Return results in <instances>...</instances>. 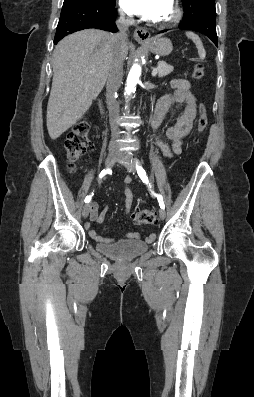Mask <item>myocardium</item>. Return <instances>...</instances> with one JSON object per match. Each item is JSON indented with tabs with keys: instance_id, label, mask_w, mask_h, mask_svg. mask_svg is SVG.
<instances>
[{
	"instance_id": "obj_1",
	"label": "myocardium",
	"mask_w": 254,
	"mask_h": 397,
	"mask_svg": "<svg viewBox=\"0 0 254 397\" xmlns=\"http://www.w3.org/2000/svg\"><path fill=\"white\" fill-rule=\"evenodd\" d=\"M172 15L164 21H159L157 25L162 28H168L176 25L182 18V10L180 6L173 0L172 2Z\"/></svg>"
}]
</instances>
